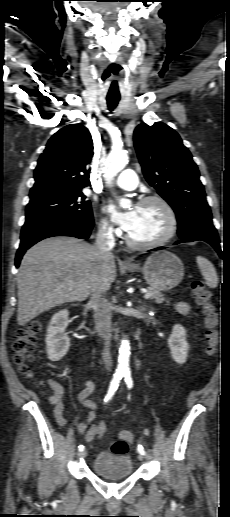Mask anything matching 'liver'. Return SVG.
Returning <instances> with one entry per match:
<instances>
[{
  "label": "liver",
  "mask_w": 230,
  "mask_h": 517,
  "mask_svg": "<svg viewBox=\"0 0 230 517\" xmlns=\"http://www.w3.org/2000/svg\"><path fill=\"white\" fill-rule=\"evenodd\" d=\"M99 277L109 289L116 278L113 255L101 258L95 245L76 238L38 242L23 256L17 274L18 324L57 305L86 300Z\"/></svg>",
  "instance_id": "1"
}]
</instances>
